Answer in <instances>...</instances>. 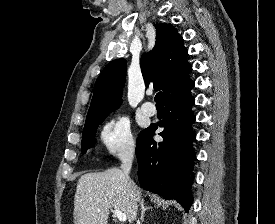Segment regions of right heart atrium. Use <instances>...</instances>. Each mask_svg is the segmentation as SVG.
Returning <instances> with one entry per match:
<instances>
[{"mask_svg": "<svg viewBox=\"0 0 275 224\" xmlns=\"http://www.w3.org/2000/svg\"><path fill=\"white\" fill-rule=\"evenodd\" d=\"M100 141L105 150L114 156L128 157L135 151L129 122L122 116L114 117L104 124Z\"/></svg>", "mask_w": 275, "mask_h": 224, "instance_id": "right-heart-atrium-1", "label": "right heart atrium"}]
</instances>
